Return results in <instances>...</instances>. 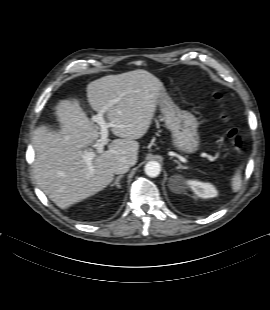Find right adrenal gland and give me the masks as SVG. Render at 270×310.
<instances>
[{
    "label": "right adrenal gland",
    "instance_id": "right-adrenal-gland-1",
    "mask_svg": "<svg viewBox=\"0 0 270 310\" xmlns=\"http://www.w3.org/2000/svg\"><path fill=\"white\" fill-rule=\"evenodd\" d=\"M121 178H123V175L117 176L115 181L112 184H110V187L116 186L118 189H120L121 185H120L119 181Z\"/></svg>",
    "mask_w": 270,
    "mask_h": 310
}]
</instances>
